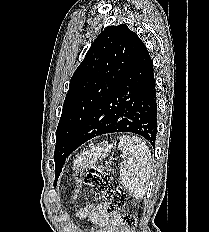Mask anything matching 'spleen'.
Returning a JSON list of instances; mask_svg holds the SVG:
<instances>
[{"label": "spleen", "instance_id": "spleen-1", "mask_svg": "<svg viewBox=\"0 0 209 232\" xmlns=\"http://www.w3.org/2000/svg\"><path fill=\"white\" fill-rule=\"evenodd\" d=\"M118 149L126 157L120 167L121 183L133 197L142 199L151 177V151L146 142L137 136L120 137Z\"/></svg>", "mask_w": 209, "mask_h": 232}]
</instances>
